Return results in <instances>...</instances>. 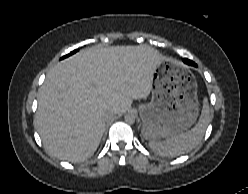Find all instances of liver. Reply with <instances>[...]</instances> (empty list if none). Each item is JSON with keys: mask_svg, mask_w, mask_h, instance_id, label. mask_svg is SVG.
Instances as JSON below:
<instances>
[{"mask_svg": "<svg viewBox=\"0 0 248 194\" xmlns=\"http://www.w3.org/2000/svg\"><path fill=\"white\" fill-rule=\"evenodd\" d=\"M148 45L90 47L53 66L39 89L34 125L49 154L73 163L96 151L105 115L146 98L164 60Z\"/></svg>", "mask_w": 248, "mask_h": 194, "instance_id": "liver-1", "label": "liver"}]
</instances>
